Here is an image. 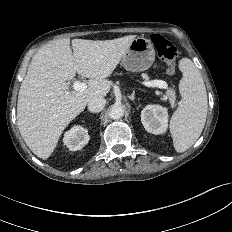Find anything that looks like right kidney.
Returning a JSON list of instances; mask_svg holds the SVG:
<instances>
[{
    "mask_svg": "<svg viewBox=\"0 0 232 232\" xmlns=\"http://www.w3.org/2000/svg\"><path fill=\"white\" fill-rule=\"evenodd\" d=\"M89 139L87 129L82 126H74L64 134L63 142L69 150L77 151L82 149Z\"/></svg>",
    "mask_w": 232,
    "mask_h": 232,
    "instance_id": "right-kidney-1",
    "label": "right kidney"
}]
</instances>
